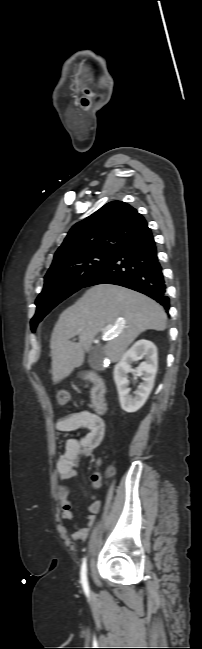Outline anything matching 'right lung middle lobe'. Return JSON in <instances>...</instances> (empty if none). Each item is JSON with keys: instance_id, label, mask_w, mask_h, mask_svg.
Listing matches in <instances>:
<instances>
[{"instance_id": "dd1d6c3e", "label": "right lung middle lobe", "mask_w": 202, "mask_h": 649, "mask_svg": "<svg viewBox=\"0 0 202 649\" xmlns=\"http://www.w3.org/2000/svg\"><path fill=\"white\" fill-rule=\"evenodd\" d=\"M114 255V252L90 251L51 267L45 275L44 288L36 299L37 310L31 320L32 332L57 304L83 288Z\"/></svg>"}]
</instances>
